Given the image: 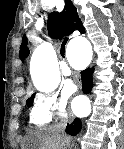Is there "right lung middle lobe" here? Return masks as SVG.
<instances>
[{
	"label": "right lung middle lobe",
	"mask_w": 124,
	"mask_h": 149,
	"mask_svg": "<svg viewBox=\"0 0 124 149\" xmlns=\"http://www.w3.org/2000/svg\"><path fill=\"white\" fill-rule=\"evenodd\" d=\"M32 103H33V99L32 98H29L27 100V105L30 107L32 105Z\"/></svg>",
	"instance_id": "dd1d6c3e"
}]
</instances>
